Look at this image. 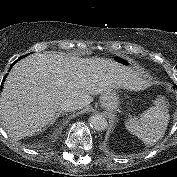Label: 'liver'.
Returning a JSON list of instances; mask_svg holds the SVG:
<instances>
[{"instance_id":"obj_1","label":"liver","mask_w":177,"mask_h":177,"mask_svg":"<svg viewBox=\"0 0 177 177\" xmlns=\"http://www.w3.org/2000/svg\"><path fill=\"white\" fill-rule=\"evenodd\" d=\"M141 81L130 67L111 59L34 53L17 62L6 77L0 99L2 123L19 140L55 122L66 100L82 109L93 101V95L134 89Z\"/></svg>"}]
</instances>
